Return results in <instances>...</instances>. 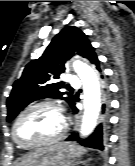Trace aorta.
Returning <instances> with one entry per match:
<instances>
[{"instance_id":"762f6f07","label":"aorta","mask_w":135,"mask_h":166,"mask_svg":"<svg viewBox=\"0 0 135 166\" xmlns=\"http://www.w3.org/2000/svg\"><path fill=\"white\" fill-rule=\"evenodd\" d=\"M73 68L82 81L84 92V115L80 132L82 136H88L97 124L101 109L99 79L94 69L86 63L75 61Z\"/></svg>"}]
</instances>
